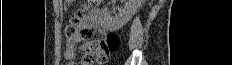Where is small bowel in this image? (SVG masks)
<instances>
[{"mask_svg": "<svg viewBox=\"0 0 232 65\" xmlns=\"http://www.w3.org/2000/svg\"><path fill=\"white\" fill-rule=\"evenodd\" d=\"M100 17L98 11H93L88 14L80 23L77 32L70 36L65 45L64 58L68 65H75V46L81 42L86 35L93 34L95 32H101ZM81 65H92L91 62L86 59L82 60Z\"/></svg>", "mask_w": 232, "mask_h": 65, "instance_id": "obj_1", "label": "small bowel"}]
</instances>
